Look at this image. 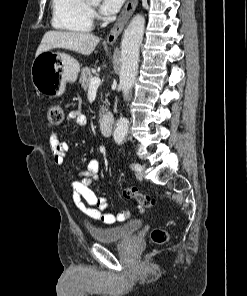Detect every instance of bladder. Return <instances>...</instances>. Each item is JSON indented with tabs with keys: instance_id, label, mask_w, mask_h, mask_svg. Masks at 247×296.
Masks as SVG:
<instances>
[{
	"instance_id": "31cf9c89",
	"label": "bladder",
	"mask_w": 247,
	"mask_h": 296,
	"mask_svg": "<svg viewBox=\"0 0 247 296\" xmlns=\"http://www.w3.org/2000/svg\"><path fill=\"white\" fill-rule=\"evenodd\" d=\"M143 227L141 220H130L118 226L94 227L90 226L89 232L92 238L100 243H111L125 240Z\"/></svg>"
}]
</instances>
